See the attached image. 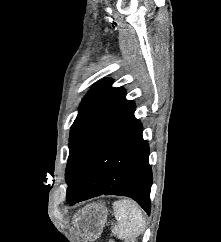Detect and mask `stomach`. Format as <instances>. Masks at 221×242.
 <instances>
[{
  "label": "stomach",
  "mask_w": 221,
  "mask_h": 242,
  "mask_svg": "<svg viewBox=\"0 0 221 242\" xmlns=\"http://www.w3.org/2000/svg\"><path fill=\"white\" fill-rule=\"evenodd\" d=\"M107 216L108 209L104 204L91 203L76 213L74 227L84 242H92L100 236Z\"/></svg>",
  "instance_id": "obj_1"
}]
</instances>
